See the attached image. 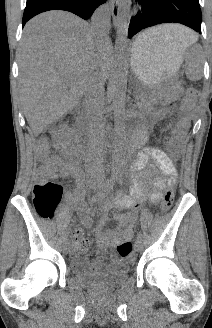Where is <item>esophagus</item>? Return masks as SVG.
<instances>
[{
	"mask_svg": "<svg viewBox=\"0 0 212 328\" xmlns=\"http://www.w3.org/2000/svg\"><path fill=\"white\" fill-rule=\"evenodd\" d=\"M111 15L113 18V24L115 29H119L121 26V17H120V1L111 0Z\"/></svg>",
	"mask_w": 212,
	"mask_h": 328,
	"instance_id": "34e87169",
	"label": "esophagus"
}]
</instances>
